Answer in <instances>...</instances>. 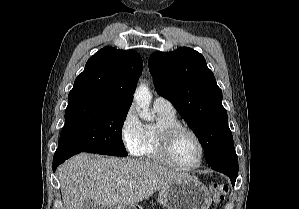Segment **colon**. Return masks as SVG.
I'll use <instances>...</instances> for the list:
<instances>
[{
  "label": "colon",
  "mask_w": 299,
  "mask_h": 209,
  "mask_svg": "<svg viewBox=\"0 0 299 209\" xmlns=\"http://www.w3.org/2000/svg\"><path fill=\"white\" fill-rule=\"evenodd\" d=\"M228 186L223 183H212L210 185V192L212 194L213 200L218 203L224 200L225 196L228 194Z\"/></svg>",
  "instance_id": "obj_1"
}]
</instances>
